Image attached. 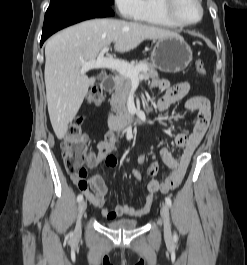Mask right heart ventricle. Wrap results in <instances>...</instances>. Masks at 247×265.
Wrapping results in <instances>:
<instances>
[{"mask_svg":"<svg viewBox=\"0 0 247 265\" xmlns=\"http://www.w3.org/2000/svg\"><path fill=\"white\" fill-rule=\"evenodd\" d=\"M134 19L168 28L178 27L163 12L161 0H140V10Z\"/></svg>","mask_w":247,"mask_h":265,"instance_id":"right-heart-ventricle-1","label":"right heart ventricle"}]
</instances>
